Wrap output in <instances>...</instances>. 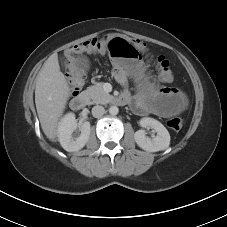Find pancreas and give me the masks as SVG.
<instances>
[{
    "instance_id": "cf45deb5",
    "label": "pancreas",
    "mask_w": 227,
    "mask_h": 227,
    "mask_svg": "<svg viewBox=\"0 0 227 227\" xmlns=\"http://www.w3.org/2000/svg\"><path fill=\"white\" fill-rule=\"evenodd\" d=\"M86 93L92 99V103L107 104L113 100V96L105 92L101 84H96L89 87Z\"/></svg>"
}]
</instances>
